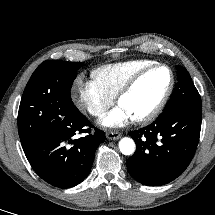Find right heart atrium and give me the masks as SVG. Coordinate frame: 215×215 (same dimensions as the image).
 I'll return each instance as SVG.
<instances>
[{
	"label": "right heart atrium",
	"mask_w": 215,
	"mask_h": 215,
	"mask_svg": "<svg viewBox=\"0 0 215 215\" xmlns=\"http://www.w3.org/2000/svg\"><path fill=\"white\" fill-rule=\"evenodd\" d=\"M71 99L78 110L100 117L114 103V97L104 92L93 80L78 77L71 88Z\"/></svg>",
	"instance_id": "1"
}]
</instances>
